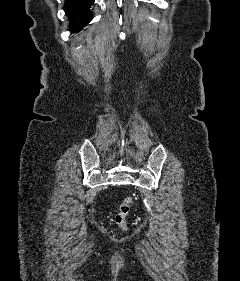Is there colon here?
Listing matches in <instances>:
<instances>
[{
  "label": "colon",
  "instance_id": "colon-1",
  "mask_svg": "<svg viewBox=\"0 0 240 281\" xmlns=\"http://www.w3.org/2000/svg\"><path fill=\"white\" fill-rule=\"evenodd\" d=\"M133 205V199L131 197H125L120 206L118 213L115 216V221L117 225L125 231L127 229L126 217L130 212V209Z\"/></svg>",
  "mask_w": 240,
  "mask_h": 281
}]
</instances>
